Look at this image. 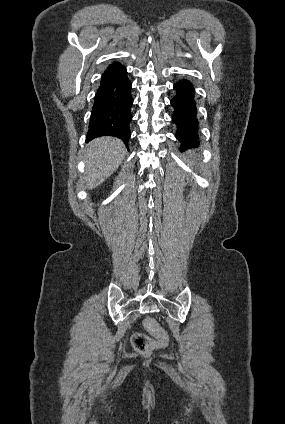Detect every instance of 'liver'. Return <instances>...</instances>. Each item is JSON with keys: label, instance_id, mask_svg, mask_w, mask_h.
I'll return each instance as SVG.
<instances>
[{"label": "liver", "instance_id": "1", "mask_svg": "<svg viewBox=\"0 0 285 424\" xmlns=\"http://www.w3.org/2000/svg\"><path fill=\"white\" fill-rule=\"evenodd\" d=\"M126 149L115 137H100L91 141L85 151L84 183L93 189L103 183L124 160Z\"/></svg>", "mask_w": 285, "mask_h": 424}]
</instances>
